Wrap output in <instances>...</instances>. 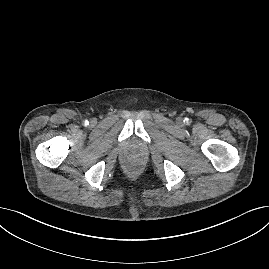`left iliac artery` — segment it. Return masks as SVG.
<instances>
[{"instance_id": "left-iliac-artery-1", "label": "left iliac artery", "mask_w": 269, "mask_h": 269, "mask_svg": "<svg viewBox=\"0 0 269 269\" xmlns=\"http://www.w3.org/2000/svg\"><path fill=\"white\" fill-rule=\"evenodd\" d=\"M184 122L188 123V122H189V120L186 118V119L184 120Z\"/></svg>"}]
</instances>
